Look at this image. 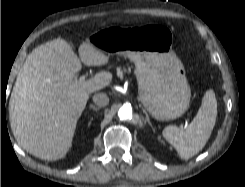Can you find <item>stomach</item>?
<instances>
[{"label":"stomach","instance_id":"1","mask_svg":"<svg viewBox=\"0 0 245 187\" xmlns=\"http://www.w3.org/2000/svg\"><path fill=\"white\" fill-rule=\"evenodd\" d=\"M172 32L161 25L108 27L87 39L106 55H122L136 66L139 97L157 120L169 121L188 109L191 90L185 69L172 50Z\"/></svg>","mask_w":245,"mask_h":187}]
</instances>
